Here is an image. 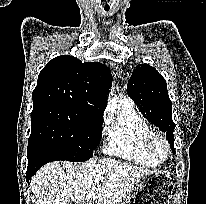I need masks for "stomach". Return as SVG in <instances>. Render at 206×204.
Instances as JSON below:
<instances>
[{
  "instance_id": "1",
  "label": "stomach",
  "mask_w": 206,
  "mask_h": 204,
  "mask_svg": "<svg viewBox=\"0 0 206 204\" xmlns=\"http://www.w3.org/2000/svg\"><path fill=\"white\" fill-rule=\"evenodd\" d=\"M173 191L171 178L162 173L143 175L121 204H169Z\"/></svg>"
}]
</instances>
